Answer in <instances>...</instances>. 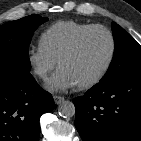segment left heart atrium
<instances>
[{"label": "left heart atrium", "instance_id": "1", "mask_svg": "<svg viewBox=\"0 0 141 141\" xmlns=\"http://www.w3.org/2000/svg\"><path fill=\"white\" fill-rule=\"evenodd\" d=\"M74 86H76L75 81L62 68H59L45 83V87L52 92L66 91Z\"/></svg>", "mask_w": 141, "mask_h": 141}]
</instances>
